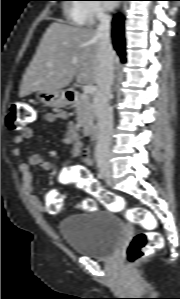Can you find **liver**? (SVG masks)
<instances>
[{
  "mask_svg": "<svg viewBox=\"0 0 180 299\" xmlns=\"http://www.w3.org/2000/svg\"><path fill=\"white\" fill-rule=\"evenodd\" d=\"M101 48L95 29L53 22L26 69L19 96L40 90H61L74 76L80 84L95 85Z\"/></svg>",
  "mask_w": 180,
  "mask_h": 299,
  "instance_id": "1",
  "label": "liver"
}]
</instances>
